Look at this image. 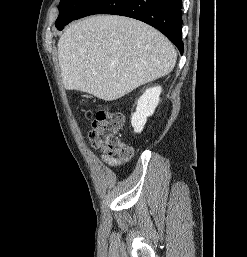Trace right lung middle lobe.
<instances>
[{
  "label": "right lung middle lobe",
  "instance_id": "right-lung-middle-lobe-1",
  "mask_svg": "<svg viewBox=\"0 0 247 257\" xmlns=\"http://www.w3.org/2000/svg\"><path fill=\"white\" fill-rule=\"evenodd\" d=\"M91 1L92 0H61L59 16L55 22L57 29L70 23Z\"/></svg>",
  "mask_w": 247,
  "mask_h": 257
}]
</instances>
